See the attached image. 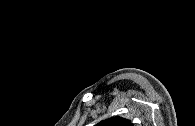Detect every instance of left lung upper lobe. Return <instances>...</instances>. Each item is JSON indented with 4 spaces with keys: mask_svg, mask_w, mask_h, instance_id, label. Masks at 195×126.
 <instances>
[{
    "mask_svg": "<svg viewBox=\"0 0 195 126\" xmlns=\"http://www.w3.org/2000/svg\"><path fill=\"white\" fill-rule=\"evenodd\" d=\"M96 126H132V123L122 117H112L101 121Z\"/></svg>",
    "mask_w": 195,
    "mask_h": 126,
    "instance_id": "5c2ea615",
    "label": "left lung upper lobe"
}]
</instances>
